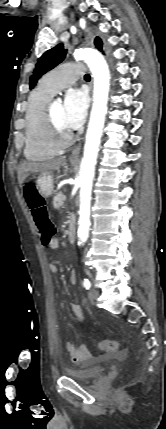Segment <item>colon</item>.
<instances>
[{"label":"colon","instance_id":"colon-1","mask_svg":"<svg viewBox=\"0 0 166 429\" xmlns=\"http://www.w3.org/2000/svg\"><path fill=\"white\" fill-rule=\"evenodd\" d=\"M24 195L40 231L42 241L45 245H48L53 239L56 230L48 216L45 201L33 183L25 185ZM97 348L104 352H115L118 350V343L114 340H103L97 343Z\"/></svg>","mask_w":166,"mask_h":429}]
</instances>
